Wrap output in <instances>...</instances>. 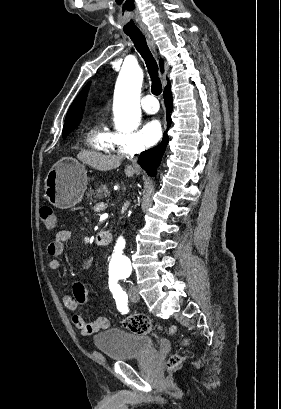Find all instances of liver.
<instances>
[{
    "mask_svg": "<svg viewBox=\"0 0 281 409\" xmlns=\"http://www.w3.org/2000/svg\"><path fill=\"white\" fill-rule=\"evenodd\" d=\"M77 158L89 164L92 168H97V170H111V168H117L121 164L120 156L116 154H102V152H97V150H81L77 154ZM126 176H133L135 172L134 166H126L124 168Z\"/></svg>",
    "mask_w": 281,
    "mask_h": 409,
    "instance_id": "6515ba94",
    "label": "liver"
}]
</instances>
